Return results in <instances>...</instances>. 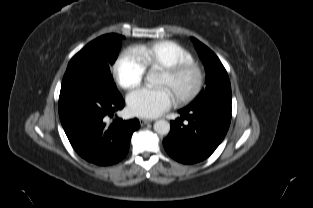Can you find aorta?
<instances>
[{"label":"aorta","instance_id":"obj_1","mask_svg":"<svg viewBox=\"0 0 313 208\" xmlns=\"http://www.w3.org/2000/svg\"><path fill=\"white\" fill-rule=\"evenodd\" d=\"M146 80L151 83L154 84L157 81V75L150 71L148 72V74L146 75ZM154 131L160 135H167L170 131V123L166 120H158L154 123Z\"/></svg>","mask_w":313,"mask_h":208}]
</instances>
